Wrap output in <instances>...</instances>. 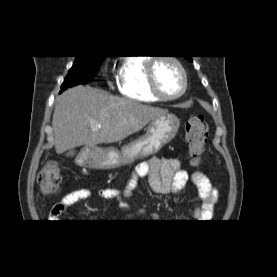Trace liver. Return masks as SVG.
<instances>
[{
	"label": "liver",
	"instance_id": "obj_1",
	"mask_svg": "<svg viewBox=\"0 0 277 277\" xmlns=\"http://www.w3.org/2000/svg\"><path fill=\"white\" fill-rule=\"evenodd\" d=\"M167 113L89 86H76L56 99L52 119L55 150L60 154L81 145L93 148L118 142Z\"/></svg>",
	"mask_w": 277,
	"mask_h": 277
}]
</instances>
